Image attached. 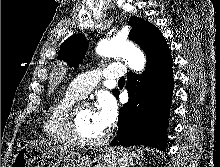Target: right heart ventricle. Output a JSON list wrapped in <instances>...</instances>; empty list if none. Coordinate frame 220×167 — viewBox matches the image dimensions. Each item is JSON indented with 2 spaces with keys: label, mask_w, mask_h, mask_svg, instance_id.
<instances>
[{
  "label": "right heart ventricle",
  "mask_w": 220,
  "mask_h": 167,
  "mask_svg": "<svg viewBox=\"0 0 220 167\" xmlns=\"http://www.w3.org/2000/svg\"><path fill=\"white\" fill-rule=\"evenodd\" d=\"M78 99L77 95L66 90L49 104L43 123V133L49 140L59 145H72L66 133L65 119L69 108Z\"/></svg>",
  "instance_id": "e07e8e85"
}]
</instances>
